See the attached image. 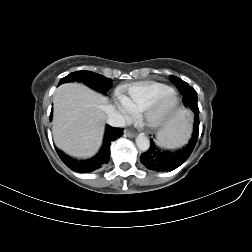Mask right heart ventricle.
<instances>
[{
    "label": "right heart ventricle",
    "instance_id": "e07e8e85",
    "mask_svg": "<svg viewBox=\"0 0 252 252\" xmlns=\"http://www.w3.org/2000/svg\"><path fill=\"white\" fill-rule=\"evenodd\" d=\"M170 90L168 85L161 82L142 81L120 86L116 92L127 99L133 111H140L148 102Z\"/></svg>",
    "mask_w": 252,
    "mask_h": 252
}]
</instances>
